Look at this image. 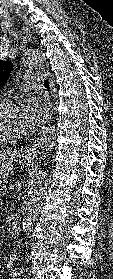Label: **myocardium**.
<instances>
[{
    "label": "myocardium",
    "mask_w": 113,
    "mask_h": 279,
    "mask_svg": "<svg viewBox=\"0 0 113 279\" xmlns=\"http://www.w3.org/2000/svg\"><path fill=\"white\" fill-rule=\"evenodd\" d=\"M19 103L15 100L12 99H5L1 100L0 99V113L4 109H12V108H18ZM26 137V134L18 135V136H9L4 134L0 130V143H15L18 142Z\"/></svg>",
    "instance_id": "f54148a6"
}]
</instances>
